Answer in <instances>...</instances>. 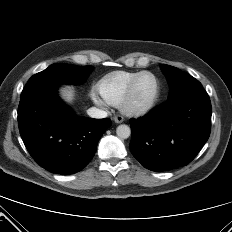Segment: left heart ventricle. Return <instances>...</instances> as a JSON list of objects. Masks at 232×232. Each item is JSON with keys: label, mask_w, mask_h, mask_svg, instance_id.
I'll return each mask as SVG.
<instances>
[{"label": "left heart ventricle", "mask_w": 232, "mask_h": 232, "mask_svg": "<svg viewBox=\"0 0 232 232\" xmlns=\"http://www.w3.org/2000/svg\"><path fill=\"white\" fill-rule=\"evenodd\" d=\"M155 92V82L151 76L145 75L138 81L132 103L135 106L143 105L147 103Z\"/></svg>", "instance_id": "left-heart-ventricle-1"}]
</instances>
